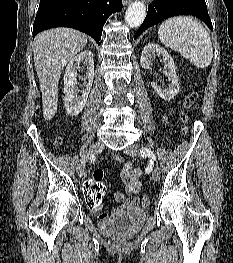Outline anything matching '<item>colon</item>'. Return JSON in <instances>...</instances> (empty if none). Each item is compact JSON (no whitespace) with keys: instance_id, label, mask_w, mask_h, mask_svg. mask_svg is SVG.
<instances>
[{"instance_id":"colon-1","label":"colon","mask_w":233,"mask_h":263,"mask_svg":"<svg viewBox=\"0 0 233 263\" xmlns=\"http://www.w3.org/2000/svg\"><path fill=\"white\" fill-rule=\"evenodd\" d=\"M198 98L197 91L190 92L183 101L184 110L180 114V119L183 124V132L186 133L187 127L186 124L188 122L187 110L190 109L196 102ZM60 141L57 140V143ZM92 177L84 178L83 182L85 183V199L86 202L84 204L85 208H96L97 205L100 204V201L105 194V184L103 181V176H105L104 169H92ZM141 205L143 207H148L150 204L149 198L147 196H143L140 200Z\"/></svg>"}]
</instances>
